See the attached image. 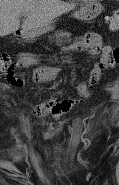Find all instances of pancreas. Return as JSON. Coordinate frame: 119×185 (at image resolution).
<instances>
[{
    "mask_svg": "<svg viewBox=\"0 0 119 185\" xmlns=\"http://www.w3.org/2000/svg\"><path fill=\"white\" fill-rule=\"evenodd\" d=\"M70 37L69 33L66 32H56L52 38H54L56 45L62 46L65 42L69 41L68 38Z\"/></svg>",
    "mask_w": 119,
    "mask_h": 185,
    "instance_id": "cf45deb5",
    "label": "pancreas"
}]
</instances>
